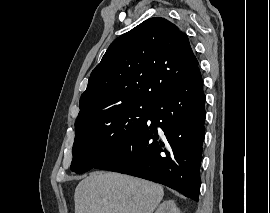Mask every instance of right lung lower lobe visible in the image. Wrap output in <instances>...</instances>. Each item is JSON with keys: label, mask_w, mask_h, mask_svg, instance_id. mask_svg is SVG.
I'll use <instances>...</instances> for the list:
<instances>
[{"label": "right lung lower lobe", "mask_w": 270, "mask_h": 213, "mask_svg": "<svg viewBox=\"0 0 270 213\" xmlns=\"http://www.w3.org/2000/svg\"><path fill=\"white\" fill-rule=\"evenodd\" d=\"M197 67L154 104L146 122L96 168L151 180L198 201L205 95Z\"/></svg>", "instance_id": "1"}]
</instances>
